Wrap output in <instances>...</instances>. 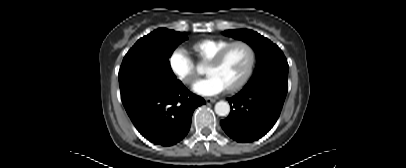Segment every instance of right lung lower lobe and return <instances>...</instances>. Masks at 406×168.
I'll return each mask as SVG.
<instances>
[{
    "instance_id": "98d812e1",
    "label": "right lung lower lobe",
    "mask_w": 406,
    "mask_h": 168,
    "mask_svg": "<svg viewBox=\"0 0 406 168\" xmlns=\"http://www.w3.org/2000/svg\"><path fill=\"white\" fill-rule=\"evenodd\" d=\"M205 104L176 80L170 85L139 95L124 107L136 127L147 140L163 146L174 145L188 133L192 114Z\"/></svg>"
}]
</instances>
